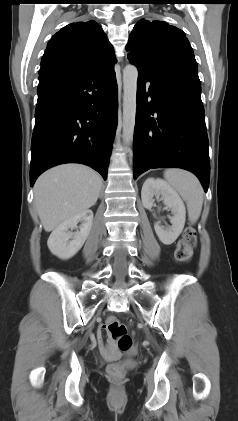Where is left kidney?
Returning <instances> with one entry per match:
<instances>
[{"label":"left kidney","instance_id":"left-kidney-1","mask_svg":"<svg viewBox=\"0 0 238 421\" xmlns=\"http://www.w3.org/2000/svg\"><path fill=\"white\" fill-rule=\"evenodd\" d=\"M154 196H161L160 200L171 209L173 216L170 217L172 224L169 228H162L158 223L154 224L155 232L159 240L165 245H171L181 234L186 220L185 206L179 195L161 179H147L141 190L142 204L151 209L154 204Z\"/></svg>","mask_w":238,"mask_h":421}]
</instances>
